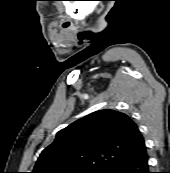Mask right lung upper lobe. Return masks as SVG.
Here are the masks:
<instances>
[{"label":"right lung upper lobe","mask_w":170,"mask_h":173,"mask_svg":"<svg viewBox=\"0 0 170 173\" xmlns=\"http://www.w3.org/2000/svg\"><path fill=\"white\" fill-rule=\"evenodd\" d=\"M145 146L136 123L126 114L104 109L60 130L32 173H73L106 169Z\"/></svg>","instance_id":"right-lung-upper-lobe-1"}]
</instances>
